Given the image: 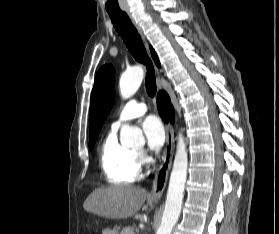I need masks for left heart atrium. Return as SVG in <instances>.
I'll list each match as a JSON object with an SVG mask.
<instances>
[{"instance_id": "obj_1", "label": "left heart atrium", "mask_w": 279, "mask_h": 234, "mask_svg": "<svg viewBox=\"0 0 279 234\" xmlns=\"http://www.w3.org/2000/svg\"><path fill=\"white\" fill-rule=\"evenodd\" d=\"M142 130L151 150H158L162 147L165 141V129L159 118L146 117L142 122Z\"/></svg>"}]
</instances>
